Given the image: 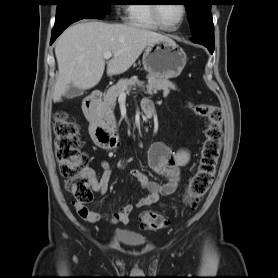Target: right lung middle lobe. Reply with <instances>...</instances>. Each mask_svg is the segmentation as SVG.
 Returning a JSON list of instances; mask_svg holds the SVG:
<instances>
[{
    "label": "right lung middle lobe",
    "mask_w": 278,
    "mask_h": 278,
    "mask_svg": "<svg viewBox=\"0 0 278 278\" xmlns=\"http://www.w3.org/2000/svg\"><path fill=\"white\" fill-rule=\"evenodd\" d=\"M113 0H57L54 27L85 18L103 19L110 13Z\"/></svg>",
    "instance_id": "right-lung-middle-lobe-1"
}]
</instances>
